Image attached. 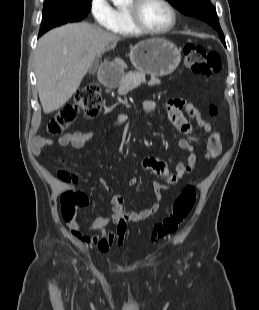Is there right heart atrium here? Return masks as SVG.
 Masks as SVG:
<instances>
[{
	"mask_svg": "<svg viewBox=\"0 0 259 310\" xmlns=\"http://www.w3.org/2000/svg\"><path fill=\"white\" fill-rule=\"evenodd\" d=\"M90 12L95 22L107 29L116 25V12L108 0H90Z\"/></svg>",
	"mask_w": 259,
	"mask_h": 310,
	"instance_id": "d8ad5b80",
	"label": "right heart atrium"
}]
</instances>
